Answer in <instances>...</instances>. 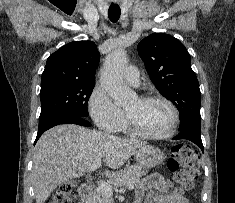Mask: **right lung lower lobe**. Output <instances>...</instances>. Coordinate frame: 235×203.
Returning a JSON list of instances; mask_svg holds the SVG:
<instances>
[{
    "mask_svg": "<svg viewBox=\"0 0 235 203\" xmlns=\"http://www.w3.org/2000/svg\"><path fill=\"white\" fill-rule=\"evenodd\" d=\"M59 124H77L81 126H91V124L86 120V118L83 117L71 114L55 115L45 120L39 121V129L35 143L45 131Z\"/></svg>",
    "mask_w": 235,
    "mask_h": 203,
    "instance_id": "1",
    "label": "right lung lower lobe"
}]
</instances>
